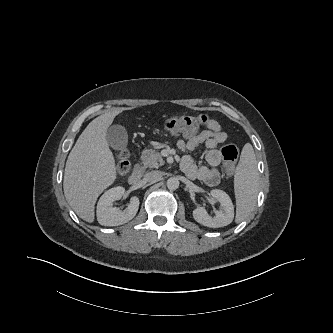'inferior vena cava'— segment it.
I'll return each mask as SVG.
<instances>
[{
	"label": "inferior vena cava",
	"mask_w": 333,
	"mask_h": 333,
	"mask_svg": "<svg viewBox=\"0 0 333 333\" xmlns=\"http://www.w3.org/2000/svg\"><path fill=\"white\" fill-rule=\"evenodd\" d=\"M161 176H162V172H160V171H150L145 174L144 180L153 181V180L159 179Z\"/></svg>",
	"instance_id": "1"
}]
</instances>
